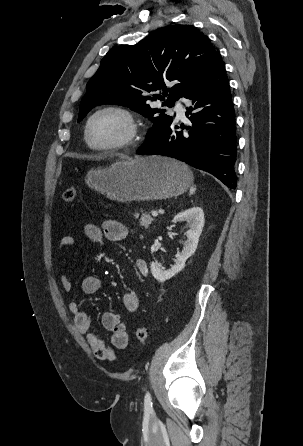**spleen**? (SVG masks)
<instances>
[{"label": "spleen", "instance_id": "3e777b00", "mask_svg": "<svg viewBox=\"0 0 303 446\" xmlns=\"http://www.w3.org/2000/svg\"><path fill=\"white\" fill-rule=\"evenodd\" d=\"M195 191H196V187H195V186H192V187L190 188V190H189L190 195L194 194Z\"/></svg>", "mask_w": 303, "mask_h": 446}]
</instances>
